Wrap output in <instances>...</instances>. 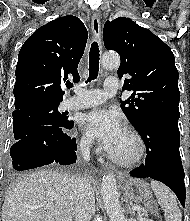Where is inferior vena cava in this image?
<instances>
[{
    "label": "inferior vena cava",
    "instance_id": "602c4592",
    "mask_svg": "<svg viewBox=\"0 0 190 221\" xmlns=\"http://www.w3.org/2000/svg\"><path fill=\"white\" fill-rule=\"evenodd\" d=\"M80 152L85 161L90 159V142H80ZM75 221H90L95 213V195L88 177L78 178L74 185Z\"/></svg>",
    "mask_w": 190,
    "mask_h": 221
}]
</instances>
